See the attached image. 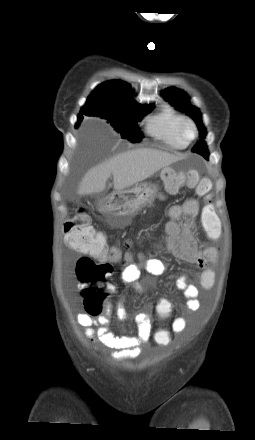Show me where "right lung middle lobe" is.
Here are the masks:
<instances>
[{"instance_id": "dd1d6c3e", "label": "right lung middle lobe", "mask_w": 255, "mask_h": 440, "mask_svg": "<svg viewBox=\"0 0 255 440\" xmlns=\"http://www.w3.org/2000/svg\"><path fill=\"white\" fill-rule=\"evenodd\" d=\"M154 108L153 104L142 106L138 103L128 105H109L98 101L87 100L79 114V120L83 115L99 116L108 120L114 129L121 133L122 138L132 143L140 142L143 138L138 128V120Z\"/></svg>"}]
</instances>
